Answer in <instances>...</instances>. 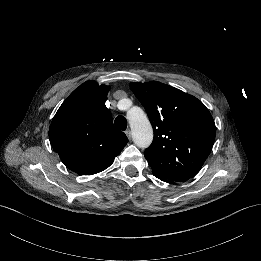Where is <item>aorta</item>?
Segmentation results:
<instances>
[{"instance_id":"obj_1","label":"aorta","mask_w":261,"mask_h":261,"mask_svg":"<svg viewBox=\"0 0 261 261\" xmlns=\"http://www.w3.org/2000/svg\"><path fill=\"white\" fill-rule=\"evenodd\" d=\"M126 104H132V100H124ZM126 119L131 127L132 140L140 149H147L153 142V128L145 112L140 106L131 105L126 110Z\"/></svg>"}]
</instances>
